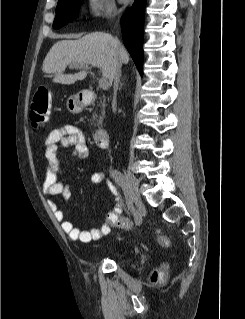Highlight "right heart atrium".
I'll return each instance as SVG.
<instances>
[{"label": "right heart atrium", "instance_id": "obj_1", "mask_svg": "<svg viewBox=\"0 0 245 319\" xmlns=\"http://www.w3.org/2000/svg\"><path fill=\"white\" fill-rule=\"evenodd\" d=\"M88 15L95 20L104 21L116 15V5L113 0H87Z\"/></svg>", "mask_w": 245, "mask_h": 319}]
</instances>
